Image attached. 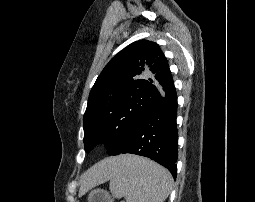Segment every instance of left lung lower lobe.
Returning a JSON list of instances; mask_svg holds the SVG:
<instances>
[{
	"label": "left lung lower lobe",
	"mask_w": 255,
	"mask_h": 202,
	"mask_svg": "<svg viewBox=\"0 0 255 202\" xmlns=\"http://www.w3.org/2000/svg\"><path fill=\"white\" fill-rule=\"evenodd\" d=\"M177 95L165 97L140 123L121 153L148 157L166 167L174 179L177 171Z\"/></svg>",
	"instance_id": "left-lung-lower-lobe-1"
}]
</instances>
